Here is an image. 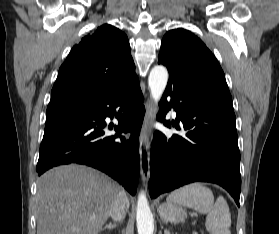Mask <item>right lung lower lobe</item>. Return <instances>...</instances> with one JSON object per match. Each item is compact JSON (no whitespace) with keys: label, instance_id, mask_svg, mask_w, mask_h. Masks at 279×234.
I'll return each mask as SVG.
<instances>
[{"label":"right lung lower lobe","instance_id":"98d812e1","mask_svg":"<svg viewBox=\"0 0 279 234\" xmlns=\"http://www.w3.org/2000/svg\"><path fill=\"white\" fill-rule=\"evenodd\" d=\"M119 108V111L115 109ZM145 114L138 78L110 96L47 116L36 171L69 163L97 168L136 194L139 177V133ZM118 120V134L106 136V117ZM131 132L125 140L119 133Z\"/></svg>","mask_w":279,"mask_h":234}]
</instances>
